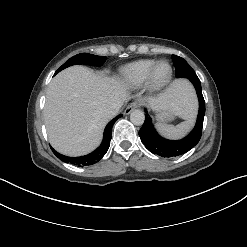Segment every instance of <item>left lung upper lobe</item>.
I'll return each mask as SVG.
<instances>
[{
	"instance_id": "1",
	"label": "left lung upper lobe",
	"mask_w": 247,
	"mask_h": 247,
	"mask_svg": "<svg viewBox=\"0 0 247 247\" xmlns=\"http://www.w3.org/2000/svg\"><path fill=\"white\" fill-rule=\"evenodd\" d=\"M172 60L176 69L175 76L177 78L179 77L190 78L192 76H197L195 71L183 58L176 55H172Z\"/></svg>"
}]
</instances>
